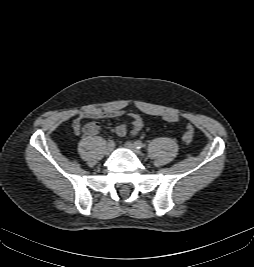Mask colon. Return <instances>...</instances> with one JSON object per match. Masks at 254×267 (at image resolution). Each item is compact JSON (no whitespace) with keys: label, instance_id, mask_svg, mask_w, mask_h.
<instances>
[{"label":"colon","instance_id":"5ec220e1","mask_svg":"<svg viewBox=\"0 0 254 267\" xmlns=\"http://www.w3.org/2000/svg\"><path fill=\"white\" fill-rule=\"evenodd\" d=\"M178 119L179 117L176 114H169L165 116V120L169 123L177 122ZM193 137H194V128L190 124H188L186 125L185 132L183 134V141L186 144H190L193 140Z\"/></svg>","mask_w":254,"mask_h":267}]
</instances>
